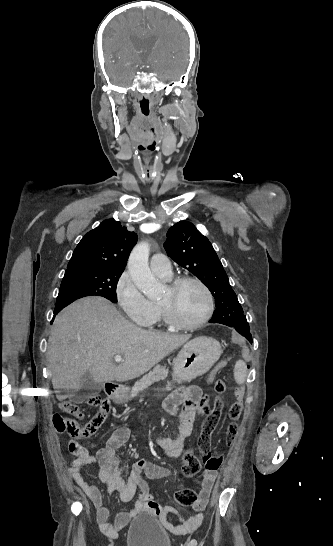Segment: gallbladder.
<instances>
[{"label": "gallbladder", "mask_w": 333, "mask_h": 546, "mask_svg": "<svg viewBox=\"0 0 333 546\" xmlns=\"http://www.w3.org/2000/svg\"><path fill=\"white\" fill-rule=\"evenodd\" d=\"M81 390L84 393L77 394L74 397V400L80 402L84 400L87 396L96 394L102 389V384L93 380L92 375L89 372H86L81 378Z\"/></svg>", "instance_id": "bac80fb5"}]
</instances>
